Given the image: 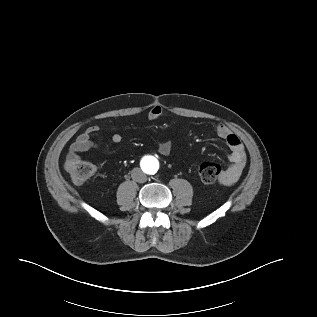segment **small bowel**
Wrapping results in <instances>:
<instances>
[{"instance_id":"small-bowel-1","label":"small bowel","mask_w":317,"mask_h":317,"mask_svg":"<svg viewBox=\"0 0 317 317\" xmlns=\"http://www.w3.org/2000/svg\"><path fill=\"white\" fill-rule=\"evenodd\" d=\"M162 115V108L160 106H153L148 112V119L157 121ZM99 131L100 129L97 125L86 128V130L71 144L67 160H80V153L96 148L97 145L92 141V137L99 133ZM216 135L227 144L229 148V161L231 163L221 172L219 182L222 185L230 186L237 182L244 170L246 165V153L241 140L227 126L223 124L217 125ZM111 139L114 143H120L122 136L120 134H113ZM158 150L162 155H168L172 150L171 142L163 141L159 143Z\"/></svg>"}]
</instances>
